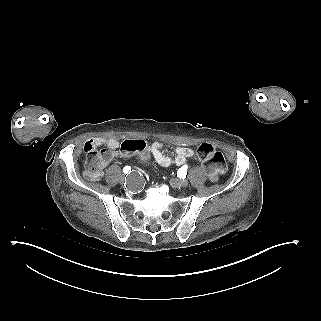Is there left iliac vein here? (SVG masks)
I'll return each mask as SVG.
<instances>
[{
	"instance_id": "1",
	"label": "left iliac vein",
	"mask_w": 321,
	"mask_h": 321,
	"mask_svg": "<svg viewBox=\"0 0 321 321\" xmlns=\"http://www.w3.org/2000/svg\"><path fill=\"white\" fill-rule=\"evenodd\" d=\"M171 184L176 188L186 187L188 185L187 179H172Z\"/></svg>"
}]
</instances>
